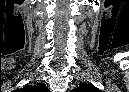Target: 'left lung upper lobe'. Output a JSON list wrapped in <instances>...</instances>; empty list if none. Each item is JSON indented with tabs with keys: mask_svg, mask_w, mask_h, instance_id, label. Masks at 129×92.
<instances>
[{
	"mask_svg": "<svg viewBox=\"0 0 129 92\" xmlns=\"http://www.w3.org/2000/svg\"><path fill=\"white\" fill-rule=\"evenodd\" d=\"M78 92H101L98 88L93 85L83 84L76 89Z\"/></svg>",
	"mask_w": 129,
	"mask_h": 92,
	"instance_id": "obj_1",
	"label": "left lung upper lobe"
}]
</instances>
